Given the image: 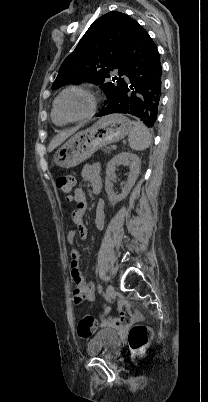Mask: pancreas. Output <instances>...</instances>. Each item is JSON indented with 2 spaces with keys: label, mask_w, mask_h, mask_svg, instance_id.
<instances>
[{
  "label": "pancreas",
  "mask_w": 208,
  "mask_h": 402,
  "mask_svg": "<svg viewBox=\"0 0 208 402\" xmlns=\"http://www.w3.org/2000/svg\"><path fill=\"white\" fill-rule=\"evenodd\" d=\"M110 150H112V146H107V148H105L104 152H110Z\"/></svg>",
  "instance_id": "obj_1"
}]
</instances>
